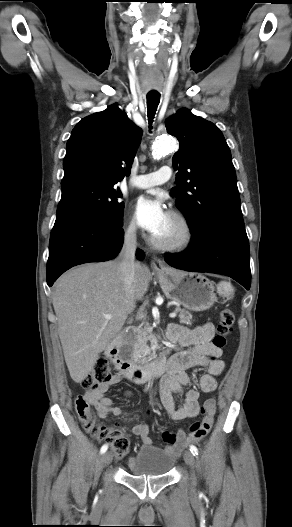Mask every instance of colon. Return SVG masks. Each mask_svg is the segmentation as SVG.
I'll use <instances>...</instances> for the list:
<instances>
[{"instance_id":"5ec220e1","label":"colon","mask_w":292,"mask_h":527,"mask_svg":"<svg viewBox=\"0 0 292 527\" xmlns=\"http://www.w3.org/2000/svg\"><path fill=\"white\" fill-rule=\"evenodd\" d=\"M234 313L225 308L220 313L213 345L222 349L227 344V338L232 332ZM112 378V362L108 358H99L91 372L82 380V386L94 390ZM76 411L85 429L100 440L110 443L116 457L125 456L130 447V441L124 429L120 427H107L95 422L89 402L84 396H78L75 402Z\"/></svg>"}]
</instances>
